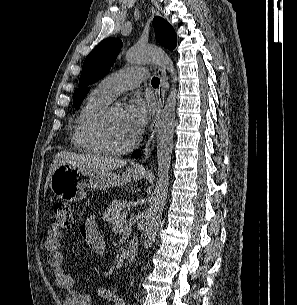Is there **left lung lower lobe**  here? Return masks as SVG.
Here are the masks:
<instances>
[{
	"label": "left lung lower lobe",
	"mask_w": 297,
	"mask_h": 305,
	"mask_svg": "<svg viewBox=\"0 0 297 305\" xmlns=\"http://www.w3.org/2000/svg\"><path fill=\"white\" fill-rule=\"evenodd\" d=\"M133 157L138 158L140 157V152L136 151L135 153L132 154Z\"/></svg>",
	"instance_id": "obj_1"
}]
</instances>
